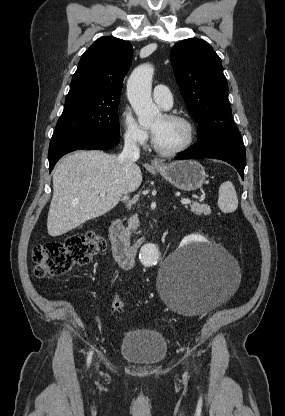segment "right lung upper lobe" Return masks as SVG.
<instances>
[{
	"label": "right lung upper lobe",
	"instance_id": "right-lung-upper-lobe-1",
	"mask_svg": "<svg viewBox=\"0 0 285 416\" xmlns=\"http://www.w3.org/2000/svg\"><path fill=\"white\" fill-rule=\"evenodd\" d=\"M129 42L101 37L82 55L67 96L80 99L119 98L132 62Z\"/></svg>",
	"mask_w": 285,
	"mask_h": 416
}]
</instances>
